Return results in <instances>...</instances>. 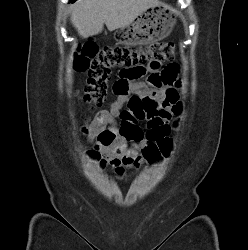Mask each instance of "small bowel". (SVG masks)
Here are the masks:
<instances>
[{"mask_svg": "<svg viewBox=\"0 0 248 250\" xmlns=\"http://www.w3.org/2000/svg\"><path fill=\"white\" fill-rule=\"evenodd\" d=\"M162 70H168L175 78L177 67L168 65ZM159 68L157 71H162ZM156 70L150 66L142 68L141 75L148 73L149 77ZM116 98L110 103L109 109H103L88 120L83 132L89 141H96V151L93 156L102 165L108 163L115 168L118 175L125 169L138 168L146 162L157 158L155 140L153 137L170 132L169 120L177 111L171 102L165 99V89H152L142 82L132 81L122 72L113 84ZM132 95L152 97L159 102L158 108L144 120L147 129L144 132L138 125L133 112L123 110L129 104ZM120 120L118 126L116 121Z\"/></svg>", "mask_w": 248, "mask_h": 250, "instance_id": "c3829d8e", "label": "small bowel"}]
</instances>
